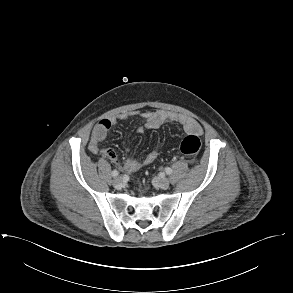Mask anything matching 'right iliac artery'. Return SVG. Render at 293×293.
Listing matches in <instances>:
<instances>
[{
  "label": "right iliac artery",
  "instance_id": "1",
  "mask_svg": "<svg viewBox=\"0 0 293 293\" xmlns=\"http://www.w3.org/2000/svg\"><path fill=\"white\" fill-rule=\"evenodd\" d=\"M111 174L113 177H116L118 176L119 172L117 170H113Z\"/></svg>",
  "mask_w": 293,
  "mask_h": 293
}]
</instances>
